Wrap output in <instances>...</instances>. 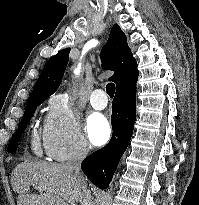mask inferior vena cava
Wrapping results in <instances>:
<instances>
[{"instance_id": "inferior-vena-cava-1", "label": "inferior vena cava", "mask_w": 199, "mask_h": 205, "mask_svg": "<svg viewBox=\"0 0 199 205\" xmlns=\"http://www.w3.org/2000/svg\"><path fill=\"white\" fill-rule=\"evenodd\" d=\"M89 147L85 141L80 142L66 166L69 170L73 171L77 181L82 189L83 200L82 205H93L92 196L89 190H87L82 173L80 172V166L82 160L87 156Z\"/></svg>"}]
</instances>
